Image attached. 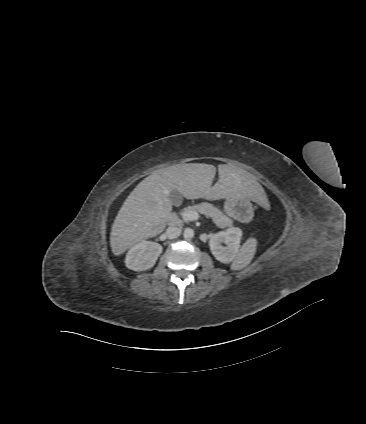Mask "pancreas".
Listing matches in <instances>:
<instances>
[{
  "label": "pancreas",
  "mask_w": 366,
  "mask_h": 424,
  "mask_svg": "<svg viewBox=\"0 0 366 424\" xmlns=\"http://www.w3.org/2000/svg\"><path fill=\"white\" fill-rule=\"evenodd\" d=\"M184 210L196 211L203 214L207 218H211L213 223L220 228L233 226V220L210 203L204 202L199 205L189 206Z\"/></svg>",
  "instance_id": "1"
}]
</instances>
